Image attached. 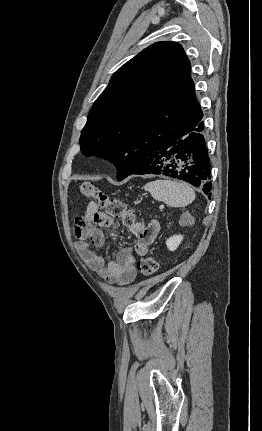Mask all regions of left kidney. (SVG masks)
Returning a JSON list of instances; mask_svg holds the SVG:
<instances>
[{
  "mask_svg": "<svg viewBox=\"0 0 262 431\" xmlns=\"http://www.w3.org/2000/svg\"><path fill=\"white\" fill-rule=\"evenodd\" d=\"M182 240H183V236L182 235H174V236L170 237L166 241L167 248L170 251L176 250L178 248V246L180 245V243H181Z\"/></svg>",
  "mask_w": 262,
  "mask_h": 431,
  "instance_id": "1",
  "label": "left kidney"
}]
</instances>
